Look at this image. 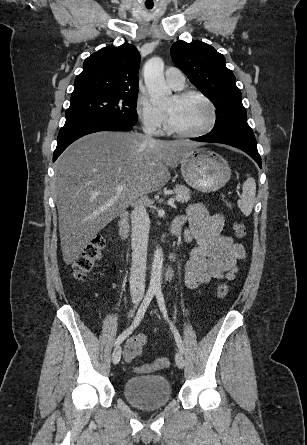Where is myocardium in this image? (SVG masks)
<instances>
[{"instance_id": "obj_1", "label": "myocardium", "mask_w": 307, "mask_h": 445, "mask_svg": "<svg viewBox=\"0 0 307 445\" xmlns=\"http://www.w3.org/2000/svg\"><path fill=\"white\" fill-rule=\"evenodd\" d=\"M175 96L179 99L197 98V99L201 100L203 103H205L209 107L210 113H211V119H210L209 124L199 131L184 132V131H181V130L175 128L171 124L168 116L165 114V124H166L167 131L170 134L178 136L177 138H170V139H180V138L201 139L202 137L208 135L209 133H211L212 131L215 130V128L217 127L218 122H219V111H218L216 104L210 98H208L203 93L194 91V90H184V91L178 92Z\"/></svg>"}]
</instances>
